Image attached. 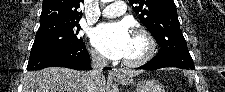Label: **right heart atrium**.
Returning a JSON list of instances; mask_svg holds the SVG:
<instances>
[{"label": "right heart atrium", "mask_w": 225, "mask_h": 92, "mask_svg": "<svg viewBox=\"0 0 225 92\" xmlns=\"http://www.w3.org/2000/svg\"><path fill=\"white\" fill-rule=\"evenodd\" d=\"M92 55L94 56V57H96V58H100V56L98 55V53L96 52V51H92Z\"/></svg>", "instance_id": "d8ad5b80"}]
</instances>
